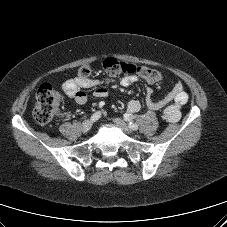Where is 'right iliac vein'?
<instances>
[{"instance_id": "right-iliac-vein-1", "label": "right iliac vein", "mask_w": 227, "mask_h": 227, "mask_svg": "<svg viewBox=\"0 0 227 227\" xmlns=\"http://www.w3.org/2000/svg\"><path fill=\"white\" fill-rule=\"evenodd\" d=\"M92 121L90 120H87V121H85V122H83V124H82V131L84 132V133H86V132H88L90 129H91V127H92Z\"/></svg>"}]
</instances>
